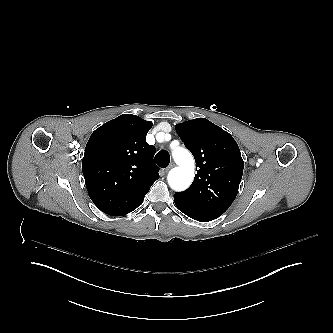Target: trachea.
<instances>
[{
	"instance_id": "trachea-1",
	"label": "trachea",
	"mask_w": 333,
	"mask_h": 333,
	"mask_svg": "<svg viewBox=\"0 0 333 333\" xmlns=\"http://www.w3.org/2000/svg\"><path fill=\"white\" fill-rule=\"evenodd\" d=\"M155 162L162 168L167 167L170 162L169 153L165 150L159 151L155 156Z\"/></svg>"
}]
</instances>
